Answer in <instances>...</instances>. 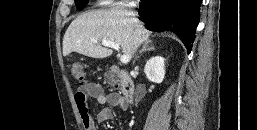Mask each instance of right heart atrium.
I'll use <instances>...</instances> for the list:
<instances>
[{"label":"right heart atrium","instance_id":"right-heart-atrium-1","mask_svg":"<svg viewBox=\"0 0 257 130\" xmlns=\"http://www.w3.org/2000/svg\"><path fill=\"white\" fill-rule=\"evenodd\" d=\"M103 1H108V0H103ZM105 3H111V2H105Z\"/></svg>","mask_w":257,"mask_h":130}]
</instances>
